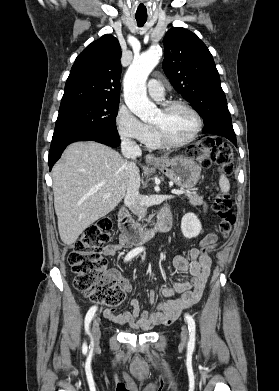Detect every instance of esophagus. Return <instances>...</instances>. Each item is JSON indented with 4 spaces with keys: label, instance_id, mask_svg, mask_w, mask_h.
Masks as SVG:
<instances>
[{
    "label": "esophagus",
    "instance_id": "obj_1",
    "mask_svg": "<svg viewBox=\"0 0 279 391\" xmlns=\"http://www.w3.org/2000/svg\"><path fill=\"white\" fill-rule=\"evenodd\" d=\"M145 161L147 162V163H152V162H159V159L158 158H156L154 155H152V154H146L145 155Z\"/></svg>",
    "mask_w": 279,
    "mask_h": 391
}]
</instances>
